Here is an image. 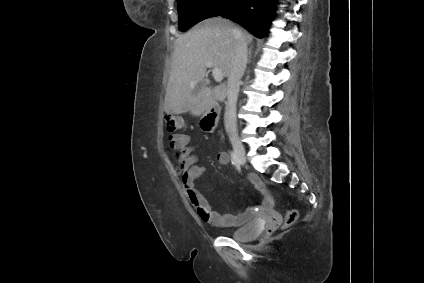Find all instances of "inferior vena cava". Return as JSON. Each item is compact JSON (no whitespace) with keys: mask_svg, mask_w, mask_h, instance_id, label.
<instances>
[{"mask_svg":"<svg viewBox=\"0 0 424 283\" xmlns=\"http://www.w3.org/2000/svg\"><path fill=\"white\" fill-rule=\"evenodd\" d=\"M238 38L235 54L231 60V69L227 82V104L225 108V128L226 131L235 134L236 125V103L238 99L241 78L244 75L247 63V43L243 33L239 29H234Z\"/></svg>","mask_w":424,"mask_h":283,"instance_id":"1","label":"inferior vena cava"}]
</instances>
